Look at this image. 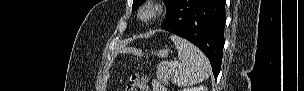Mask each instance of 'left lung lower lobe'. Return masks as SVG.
<instances>
[{
  "label": "left lung lower lobe",
  "instance_id": "0a47b994",
  "mask_svg": "<svg viewBox=\"0 0 304 91\" xmlns=\"http://www.w3.org/2000/svg\"><path fill=\"white\" fill-rule=\"evenodd\" d=\"M225 21V0H178L161 27L202 50L216 79L221 68Z\"/></svg>",
  "mask_w": 304,
  "mask_h": 91
}]
</instances>
